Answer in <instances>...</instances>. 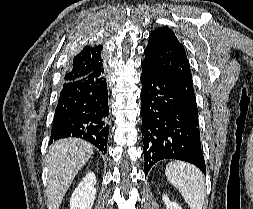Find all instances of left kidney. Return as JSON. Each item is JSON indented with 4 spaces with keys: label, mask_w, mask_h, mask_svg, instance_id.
I'll list each match as a JSON object with an SVG mask.
<instances>
[{
    "label": "left kidney",
    "mask_w": 253,
    "mask_h": 209,
    "mask_svg": "<svg viewBox=\"0 0 253 209\" xmlns=\"http://www.w3.org/2000/svg\"><path fill=\"white\" fill-rule=\"evenodd\" d=\"M163 201L166 209H182L176 202H171L167 195H163Z\"/></svg>",
    "instance_id": "obj_1"
}]
</instances>
